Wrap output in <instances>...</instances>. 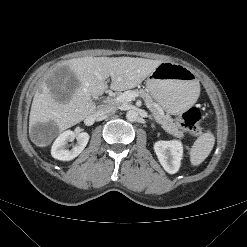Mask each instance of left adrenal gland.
<instances>
[{"label":"left adrenal gland","instance_id":"1","mask_svg":"<svg viewBox=\"0 0 247 247\" xmlns=\"http://www.w3.org/2000/svg\"><path fill=\"white\" fill-rule=\"evenodd\" d=\"M149 119L153 120V118L151 116H149Z\"/></svg>","mask_w":247,"mask_h":247}]
</instances>
